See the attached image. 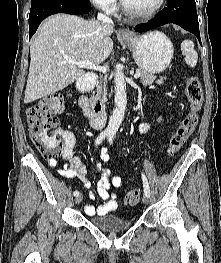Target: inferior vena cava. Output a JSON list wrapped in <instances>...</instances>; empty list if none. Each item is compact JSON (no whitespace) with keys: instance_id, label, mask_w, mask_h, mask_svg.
I'll use <instances>...</instances> for the list:
<instances>
[{"instance_id":"inferior-vena-cava-1","label":"inferior vena cava","mask_w":221,"mask_h":263,"mask_svg":"<svg viewBox=\"0 0 221 263\" xmlns=\"http://www.w3.org/2000/svg\"><path fill=\"white\" fill-rule=\"evenodd\" d=\"M97 19H98L99 21H101L103 24L113 26V21H112V19L109 18L108 16L102 14V13H98Z\"/></svg>"}]
</instances>
